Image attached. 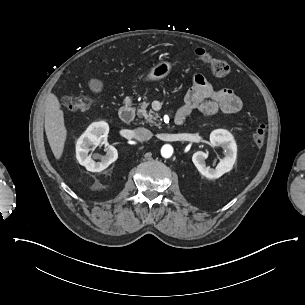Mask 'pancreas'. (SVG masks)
<instances>
[{
	"instance_id": "cf45deb5",
	"label": "pancreas",
	"mask_w": 305,
	"mask_h": 305,
	"mask_svg": "<svg viewBox=\"0 0 305 305\" xmlns=\"http://www.w3.org/2000/svg\"><path fill=\"white\" fill-rule=\"evenodd\" d=\"M149 103L148 102H142L140 103V108L137 110V116L139 118H144L146 123H149L150 125L158 126L160 123H157L158 120V113L154 112L153 110L147 111Z\"/></svg>"
}]
</instances>
